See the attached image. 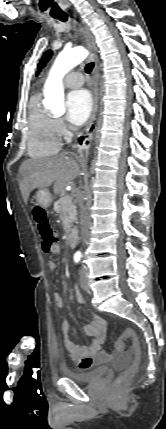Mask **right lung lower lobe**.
Returning <instances> with one entry per match:
<instances>
[{
  "label": "right lung lower lobe",
  "instance_id": "right-lung-lower-lobe-1",
  "mask_svg": "<svg viewBox=\"0 0 166 429\" xmlns=\"http://www.w3.org/2000/svg\"><path fill=\"white\" fill-rule=\"evenodd\" d=\"M93 128V127H92ZM92 128H91V130H92ZM80 140H83V137L82 138H80Z\"/></svg>",
  "mask_w": 166,
  "mask_h": 429
}]
</instances>
